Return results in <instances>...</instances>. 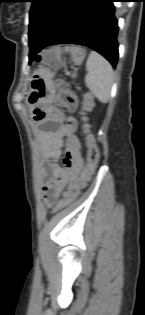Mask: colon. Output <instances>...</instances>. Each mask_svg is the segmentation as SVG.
I'll list each match as a JSON object with an SVG mask.
<instances>
[{
	"label": "colon",
	"mask_w": 145,
	"mask_h": 315,
	"mask_svg": "<svg viewBox=\"0 0 145 315\" xmlns=\"http://www.w3.org/2000/svg\"><path fill=\"white\" fill-rule=\"evenodd\" d=\"M72 61L74 63L82 62L84 58V51L81 48L71 47L67 49ZM62 49L58 47L48 48L42 51L38 57V61L44 65L57 67L62 62ZM77 103V97L74 92L66 86H61L56 96V105L64 110H73ZM92 104L90 98L85 101V108H89ZM87 147V163L81 178L68 188L64 194L63 199L58 203L57 209H61L70 204L80 193L81 189L88 183L91 176L95 172L99 163V149L94 142L91 135L87 134L85 137Z\"/></svg>",
	"instance_id": "5ec220e1"
}]
</instances>
